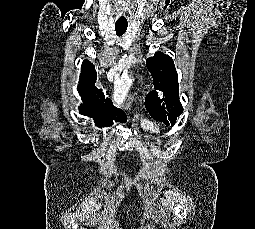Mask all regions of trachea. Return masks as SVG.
I'll return each mask as SVG.
<instances>
[{
  "label": "trachea",
  "mask_w": 255,
  "mask_h": 229,
  "mask_svg": "<svg viewBox=\"0 0 255 229\" xmlns=\"http://www.w3.org/2000/svg\"><path fill=\"white\" fill-rule=\"evenodd\" d=\"M128 27V23H118L116 22L115 24V30H116V34L117 36H122Z\"/></svg>",
  "instance_id": "3493384b"
}]
</instances>
